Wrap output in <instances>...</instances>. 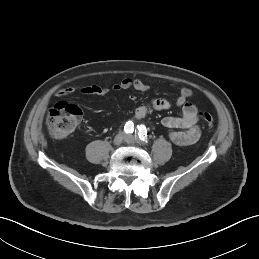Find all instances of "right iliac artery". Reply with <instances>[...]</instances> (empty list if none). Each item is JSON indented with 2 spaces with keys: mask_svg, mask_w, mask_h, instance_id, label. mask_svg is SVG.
Returning <instances> with one entry per match:
<instances>
[{
  "mask_svg": "<svg viewBox=\"0 0 259 259\" xmlns=\"http://www.w3.org/2000/svg\"><path fill=\"white\" fill-rule=\"evenodd\" d=\"M124 131L126 133H133V131H134V124H133L132 121L126 122V124L124 126Z\"/></svg>",
  "mask_w": 259,
  "mask_h": 259,
  "instance_id": "right-iliac-artery-1",
  "label": "right iliac artery"
}]
</instances>
